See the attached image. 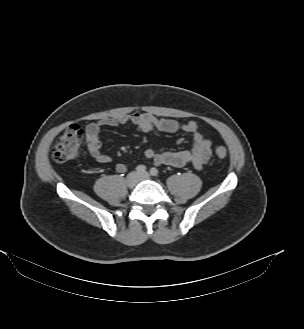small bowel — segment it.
<instances>
[{
    "instance_id": "c3829d8e",
    "label": "small bowel",
    "mask_w": 304,
    "mask_h": 329,
    "mask_svg": "<svg viewBox=\"0 0 304 329\" xmlns=\"http://www.w3.org/2000/svg\"><path fill=\"white\" fill-rule=\"evenodd\" d=\"M132 124L142 133H149L158 130L165 133L183 132L191 136L192 148L189 151H162L157 152L152 147L146 148L144 154L146 158L156 165H170L182 167L192 165L196 169L203 168L211 157V142L201 134L196 122L189 121L180 123L173 119H159L150 113L135 112L132 114L120 115L117 117L105 118L85 127V137L87 148L92 158L101 164H109L112 158L101 151V131L104 127H114L125 124ZM127 166L118 163L116 170L124 173Z\"/></svg>"
}]
</instances>
